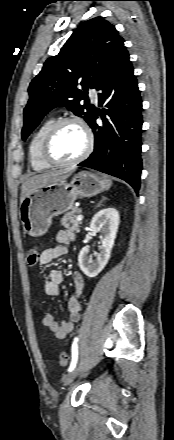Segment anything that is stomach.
Listing matches in <instances>:
<instances>
[{
	"label": "stomach",
	"mask_w": 174,
	"mask_h": 440,
	"mask_svg": "<svg viewBox=\"0 0 174 440\" xmlns=\"http://www.w3.org/2000/svg\"><path fill=\"white\" fill-rule=\"evenodd\" d=\"M112 181L89 171L39 187L25 197L20 205L19 216L26 233L33 237L44 235L54 216L73 208L78 197H92L107 189Z\"/></svg>",
	"instance_id": "stomach-1"
}]
</instances>
